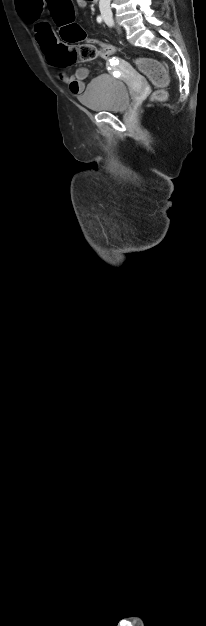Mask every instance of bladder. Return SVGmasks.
I'll return each instance as SVG.
<instances>
[{"mask_svg":"<svg viewBox=\"0 0 206 626\" xmlns=\"http://www.w3.org/2000/svg\"><path fill=\"white\" fill-rule=\"evenodd\" d=\"M79 101L93 111L118 112L128 107L130 94L121 80L101 75L87 85Z\"/></svg>","mask_w":206,"mask_h":626,"instance_id":"bladder-1","label":"bladder"}]
</instances>
